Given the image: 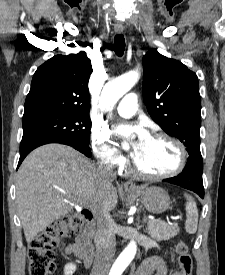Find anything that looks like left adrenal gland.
Listing matches in <instances>:
<instances>
[{
	"label": "left adrenal gland",
	"mask_w": 225,
	"mask_h": 275,
	"mask_svg": "<svg viewBox=\"0 0 225 275\" xmlns=\"http://www.w3.org/2000/svg\"><path fill=\"white\" fill-rule=\"evenodd\" d=\"M144 222H146V217H144V220H143Z\"/></svg>",
	"instance_id": "1"
}]
</instances>
